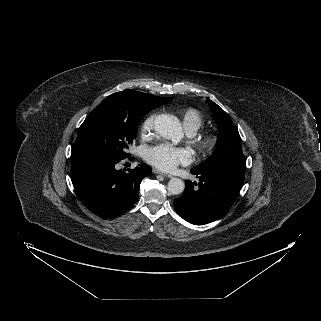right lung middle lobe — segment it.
I'll return each instance as SVG.
<instances>
[{
  "instance_id": "1",
  "label": "right lung middle lobe",
  "mask_w": 321,
  "mask_h": 321,
  "mask_svg": "<svg viewBox=\"0 0 321 321\" xmlns=\"http://www.w3.org/2000/svg\"><path fill=\"white\" fill-rule=\"evenodd\" d=\"M155 108L123 92L111 94L80 126L71 158L95 156L120 161L129 157L128 149L137 135L139 121Z\"/></svg>"
}]
</instances>
